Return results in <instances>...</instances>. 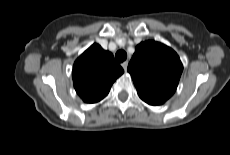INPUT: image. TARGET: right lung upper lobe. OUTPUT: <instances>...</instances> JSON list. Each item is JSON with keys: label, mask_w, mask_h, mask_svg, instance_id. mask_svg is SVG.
Returning a JSON list of instances; mask_svg holds the SVG:
<instances>
[{"label": "right lung upper lobe", "mask_w": 230, "mask_h": 155, "mask_svg": "<svg viewBox=\"0 0 230 155\" xmlns=\"http://www.w3.org/2000/svg\"><path fill=\"white\" fill-rule=\"evenodd\" d=\"M123 72L112 53L95 43L74 63V88L84 102L97 103L107 96L112 84Z\"/></svg>", "instance_id": "cb5924a9"}]
</instances>
